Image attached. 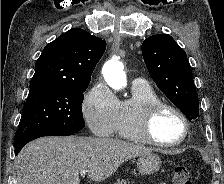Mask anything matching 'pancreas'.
I'll return each mask as SVG.
<instances>
[{
    "mask_svg": "<svg viewBox=\"0 0 224 184\" xmlns=\"http://www.w3.org/2000/svg\"><path fill=\"white\" fill-rule=\"evenodd\" d=\"M113 184H127V182L125 180H117L116 183H113Z\"/></svg>",
    "mask_w": 224,
    "mask_h": 184,
    "instance_id": "obj_1",
    "label": "pancreas"
}]
</instances>
